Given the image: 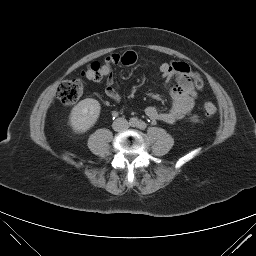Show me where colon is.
<instances>
[{
    "label": "colon",
    "instance_id": "obj_1",
    "mask_svg": "<svg viewBox=\"0 0 256 256\" xmlns=\"http://www.w3.org/2000/svg\"><path fill=\"white\" fill-rule=\"evenodd\" d=\"M103 66L104 63L93 62L88 65L82 75L88 80H100L103 77ZM193 84L198 89L203 87L202 78L196 73L193 74ZM82 94L83 84L79 79L64 80L60 83L57 90L59 100L66 106H72L77 103ZM204 112L206 115L212 116L216 114L217 108L213 103L206 102L204 104Z\"/></svg>",
    "mask_w": 256,
    "mask_h": 256
}]
</instances>
